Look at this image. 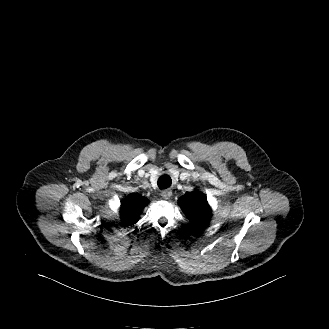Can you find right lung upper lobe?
<instances>
[{"label": "right lung upper lobe", "mask_w": 329, "mask_h": 329, "mask_svg": "<svg viewBox=\"0 0 329 329\" xmlns=\"http://www.w3.org/2000/svg\"><path fill=\"white\" fill-rule=\"evenodd\" d=\"M148 204V199L138 194L129 195L121 201V216L125 226L133 225L139 220L140 210Z\"/></svg>", "instance_id": "right-lung-upper-lobe-1"}]
</instances>
